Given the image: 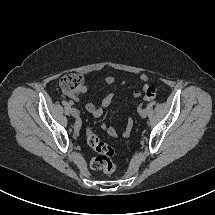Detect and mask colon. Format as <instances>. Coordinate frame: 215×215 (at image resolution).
<instances>
[{"label":"colon","mask_w":215,"mask_h":215,"mask_svg":"<svg viewBox=\"0 0 215 215\" xmlns=\"http://www.w3.org/2000/svg\"><path fill=\"white\" fill-rule=\"evenodd\" d=\"M83 77L77 73L65 74L60 81L61 89L68 95H76L82 92L83 89ZM157 95V89L152 85H146L143 90V99L152 100ZM87 143L93 148L99 155L91 160V167L102 171L105 174H112L116 170V166L112 161L114 150L103 143L92 129L87 130Z\"/></svg>","instance_id":"1"}]
</instances>
